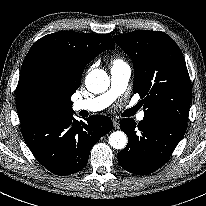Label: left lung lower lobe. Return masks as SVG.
I'll return each instance as SVG.
<instances>
[{
    "label": "left lung lower lobe",
    "mask_w": 206,
    "mask_h": 206,
    "mask_svg": "<svg viewBox=\"0 0 206 206\" xmlns=\"http://www.w3.org/2000/svg\"><path fill=\"white\" fill-rule=\"evenodd\" d=\"M128 144L118 154L121 167L145 175L162 167L182 139L187 123L160 116H144L138 124L132 118L120 121Z\"/></svg>",
    "instance_id": "left-lung-lower-lobe-1"
}]
</instances>
